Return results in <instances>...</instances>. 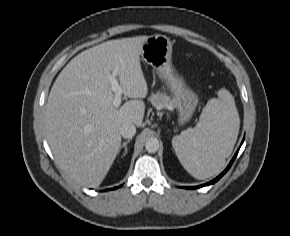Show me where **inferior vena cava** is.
<instances>
[{
  "label": "inferior vena cava",
  "instance_id": "602c4592",
  "mask_svg": "<svg viewBox=\"0 0 290 236\" xmlns=\"http://www.w3.org/2000/svg\"><path fill=\"white\" fill-rule=\"evenodd\" d=\"M136 133V127L133 124L127 123L121 126L120 134L124 138H132Z\"/></svg>",
  "mask_w": 290,
  "mask_h": 236
}]
</instances>
